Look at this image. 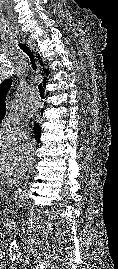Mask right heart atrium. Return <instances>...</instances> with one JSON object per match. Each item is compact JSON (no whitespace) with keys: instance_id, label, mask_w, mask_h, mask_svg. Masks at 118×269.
Listing matches in <instances>:
<instances>
[{"instance_id":"d8ad5b80","label":"right heart atrium","mask_w":118,"mask_h":269,"mask_svg":"<svg viewBox=\"0 0 118 269\" xmlns=\"http://www.w3.org/2000/svg\"><path fill=\"white\" fill-rule=\"evenodd\" d=\"M21 118V114H19L18 112L12 111L9 114V121L14 124H18L21 121Z\"/></svg>"}]
</instances>
